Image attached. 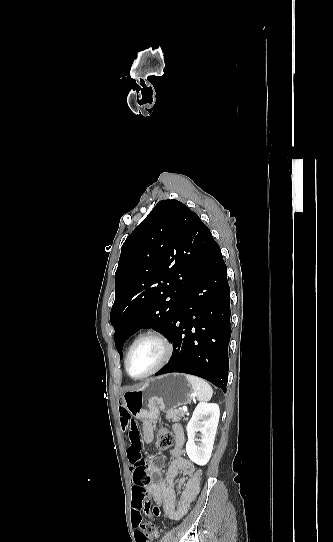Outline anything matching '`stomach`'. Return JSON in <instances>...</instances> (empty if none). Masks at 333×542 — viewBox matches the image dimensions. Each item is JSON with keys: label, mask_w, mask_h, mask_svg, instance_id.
I'll use <instances>...</instances> for the list:
<instances>
[{"label": "stomach", "mask_w": 333, "mask_h": 542, "mask_svg": "<svg viewBox=\"0 0 333 542\" xmlns=\"http://www.w3.org/2000/svg\"><path fill=\"white\" fill-rule=\"evenodd\" d=\"M192 388L184 374H164L151 378L138 390H128L122 402L129 414L137 420H149L156 424L161 412L176 410L189 404Z\"/></svg>", "instance_id": "1"}]
</instances>
